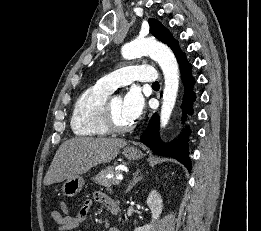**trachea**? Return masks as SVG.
Masks as SVG:
<instances>
[{"instance_id": "obj_1", "label": "trachea", "mask_w": 261, "mask_h": 231, "mask_svg": "<svg viewBox=\"0 0 261 231\" xmlns=\"http://www.w3.org/2000/svg\"><path fill=\"white\" fill-rule=\"evenodd\" d=\"M152 86H159V82H154L153 84H152Z\"/></svg>"}]
</instances>
